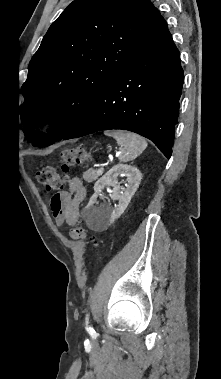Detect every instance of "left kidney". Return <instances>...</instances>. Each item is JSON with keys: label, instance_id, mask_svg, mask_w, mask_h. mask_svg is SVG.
Masks as SVG:
<instances>
[{"label": "left kidney", "instance_id": "5707ae66", "mask_svg": "<svg viewBox=\"0 0 221 379\" xmlns=\"http://www.w3.org/2000/svg\"><path fill=\"white\" fill-rule=\"evenodd\" d=\"M119 175L127 177L126 188L120 187L117 181ZM142 179L141 172L133 166L117 164L102 176L94 185V195L88 205L83 210L85 221L89 228L93 230L105 229L116 219H118L127 208L132 196L135 194ZM105 186H113L110 197L118 200V205L114 208L109 205L96 207L97 197Z\"/></svg>", "mask_w": 221, "mask_h": 379}]
</instances>
